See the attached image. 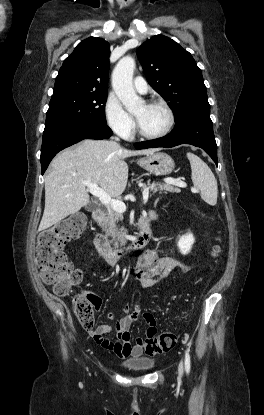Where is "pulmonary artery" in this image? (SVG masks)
I'll return each mask as SVG.
<instances>
[{
  "label": "pulmonary artery",
  "instance_id": "1",
  "mask_svg": "<svg viewBox=\"0 0 264 415\" xmlns=\"http://www.w3.org/2000/svg\"><path fill=\"white\" fill-rule=\"evenodd\" d=\"M133 86L141 94L147 93L149 89L147 82L140 76L134 78Z\"/></svg>",
  "mask_w": 264,
  "mask_h": 415
}]
</instances>
